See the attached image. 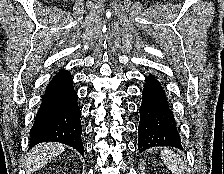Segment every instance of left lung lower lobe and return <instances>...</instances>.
<instances>
[{
	"label": "left lung lower lobe",
	"mask_w": 224,
	"mask_h": 174,
	"mask_svg": "<svg viewBox=\"0 0 224 174\" xmlns=\"http://www.w3.org/2000/svg\"><path fill=\"white\" fill-rule=\"evenodd\" d=\"M139 108L138 150L156 146L182 148L170 102L161 83L150 74L145 78Z\"/></svg>",
	"instance_id": "left-lung-lower-lobe-1"
}]
</instances>
